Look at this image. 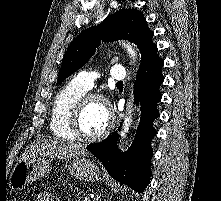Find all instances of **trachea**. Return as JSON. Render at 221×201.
<instances>
[{
	"label": "trachea",
	"mask_w": 221,
	"mask_h": 201,
	"mask_svg": "<svg viewBox=\"0 0 221 201\" xmlns=\"http://www.w3.org/2000/svg\"><path fill=\"white\" fill-rule=\"evenodd\" d=\"M117 84H118V85H122V84H123V82H121V81H120V82H117Z\"/></svg>",
	"instance_id": "1"
}]
</instances>
